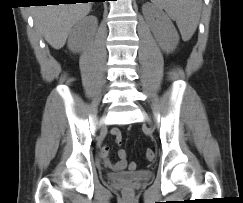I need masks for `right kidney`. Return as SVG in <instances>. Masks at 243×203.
Returning a JSON list of instances; mask_svg holds the SVG:
<instances>
[{"instance_id": "right-kidney-1", "label": "right kidney", "mask_w": 243, "mask_h": 203, "mask_svg": "<svg viewBox=\"0 0 243 203\" xmlns=\"http://www.w3.org/2000/svg\"><path fill=\"white\" fill-rule=\"evenodd\" d=\"M97 26L95 16H88L77 22L69 34L68 48L73 52L82 50L86 41L95 34Z\"/></svg>"}]
</instances>
